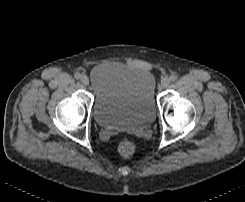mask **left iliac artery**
I'll list each match as a JSON object with an SVG mask.
<instances>
[{
    "label": "left iliac artery",
    "mask_w": 245,
    "mask_h": 202,
    "mask_svg": "<svg viewBox=\"0 0 245 202\" xmlns=\"http://www.w3.org/2000/svg\"><path fill=\"white\" fill-rule=\"evenodd\" d=\"M170 80L173 81V82L176 81L177 80V76L176 75H171L170 76Z\"/></svg>",
    "instance_id": "obj_1"
}]
</instances>
